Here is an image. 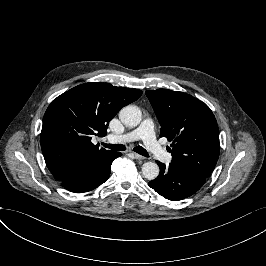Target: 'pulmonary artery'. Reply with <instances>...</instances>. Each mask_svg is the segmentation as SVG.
I'll list each match as a JSON object with an SVG mask.
<instances>
[{
  "mask_svg": "<svg viewBox=\"0 0 266 266\" xmlns=\"http://www.w3.org/2000/svg\"><path fill=\"white\" fill-rule=\"evenodd\" d=\"M154 126V121L147 118L142 124H139L134 130L129 131L126 135L110 134L107 136V140L110 143H119L124 141L135 143L142 139L148 148L153 149L158 158L165 160L167 159L168 154L162 149L160 141H158L151 132Z\"/></svg>",
  "mask_w": 266,
  "mask_h": 266,
  "instance_id": "obj_1",
  "label": "pulmonary artery"
}]
</instances>
